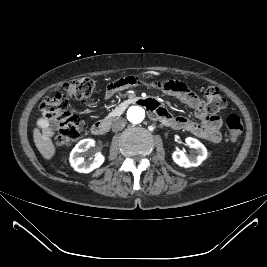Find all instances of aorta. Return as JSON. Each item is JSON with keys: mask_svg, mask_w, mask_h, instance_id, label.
Instances as JSON below:
<instances>
[{"mask_svg": "<svg viewBox=\"0 0 267 267\" xmlns=\"http://www.w3.org/2000/svg\"><path fill=\"white\" fill-rule=\"evenodd\" d=\"M127 118L133 124L141 123L145 118V110L140 106H132L128 109Z\"/></svg>", "mask_w": 267, "mask_h": 267, "instance_id": "762f6f07", "label": "aorta"}]
</instances>
